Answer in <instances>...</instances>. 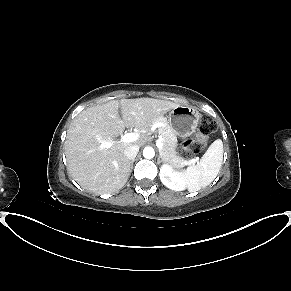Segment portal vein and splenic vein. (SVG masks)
I'll return each instance as SVG.
<instances>
[{
	"mask_svg": "<svg viewBox=\"0 0 291 291\" xmlns=\"http://www.w3.org/2000/svg\"><path fill=\"white\" fill-rule=\"evenodd\" d=\"M140 137L139 133H126L121 139L120 142L122 143H130V142H134L136 140H138ZM163 138L160 136L157 141H156V146L158 148H162L163 147ZM115 141H102L101 142V147L102 148H110L111 146H113V144H115ZM198 157H195L194 159H191L190 161L187 162V164H195V162L198 160Z\"/></svg>",
	"mask_w": 291,
	"mask_h": 291,
	"instance_id": "18ae733b",
	"label": "portal vein and splenic vein"
}]
</instances>
